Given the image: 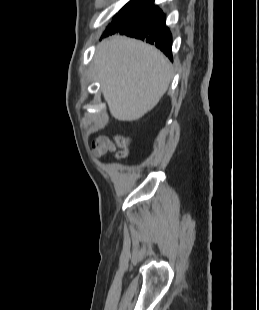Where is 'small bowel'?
Wrapping results in <instances>:
<instances>
[{
	"label": "small bowel",
	"mask_w": 259,
	"mask_h": 310,
	"mask_svg": "<svg viewBox=\"0 0 259 310\" xmlns=\"http://www.w3.org/2000/svg\"><path fill=\"white\" fill-rule=\"evenodd\" d=\"M113 149V145L106 138L98 137L93 142L92 155L95 158H100Z\"/></svg>",
	"instance_id": "obj_1"
}]
</instances>
